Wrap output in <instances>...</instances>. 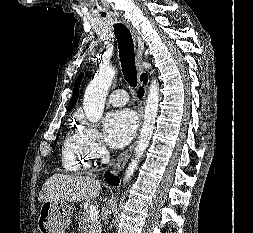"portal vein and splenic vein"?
<instances>
[{
	"label": "portal vein and splenic vein",
	"mask_w": 253,
	"mask_h": 233,
	"mask_svg": "<svg viewBox=\"0 0 253 233\" xmlns=\"http://www.w3.org/2000/svg\"><path fill=\"white\" fill-rule=\"evenodd\" d=\"M88 214H89L90 220H96L97 217H98L97 207L96 206H90Z\"/></svg>",
	"instance_id": "obj_1"
}]
</instances>
